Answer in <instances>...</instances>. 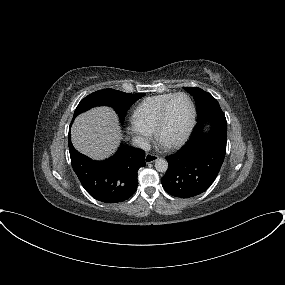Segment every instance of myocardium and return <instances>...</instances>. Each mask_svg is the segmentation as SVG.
<instances>
[{
    "label": "myocardium",
    "mask_w": 285,
    "mask_h": 285,
    "mask_svg": "<svg viewBox=\"0 0 285 285\" xmlns=\"http://www.w3.org/2000/svg\"><path fill=\"white\" fill-rule=\"evenodd\" d=\"M179 96H184L187 98V100L190 103V107H191V116H190V121L189 124L185 130V132L183 133V135L181 137H179L178 139H176L175 141H172L170 143H162L160 140V134L162 131L163 126L166 123L167 117H168V112H169V108L171 103L173 102V100ZM196 116H197V112H196V106L194 104V101L192 100V98L190 97L189 94L185 93V92H177L174 93L172 95V97L165 103V105L162 108V111L160 113V116L158 118L157 124L155 126L154 132H155V137L158 141H160L165 147L167 148H177L180 147L181 145H183L190 137L194 127H195V123H196Z\"/></svg>",
    "instance_id": "myocardium-1"
}]
</instances>
